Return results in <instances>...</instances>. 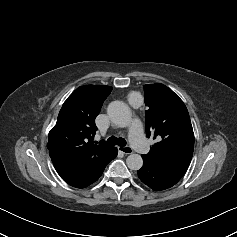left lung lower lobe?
Returning <instances> with one entry per match:
<instances>
[{
    "instance_id": "obj_1",
    "label": "left lung lower lobe",
    "mask_w": 237,
    "mask_h": 237,
    "mask_svg": "<svg viewBox=\"0 0 237 237\" xmlns=\"http://www.w3.org/2000/svg\"><path fill=\"white\" fill-rule=\"evenodd\" d=\"M142 158L143 167L138 171V177L153 190L170 188L184 175L183 172L158 164L145 157Z\"/></svg>"
}]
</instances>
